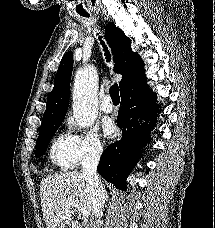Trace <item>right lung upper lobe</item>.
Instances as JSON below:
<instances>
[{
  "label": "right lung upper lobe",
  "instance_id": "cb5924a9",
  "mask_svg": "<svg viewBox=\"0 0 215 228\" xmlns=\"http://www.w3.org/2000/svg\"><path fill=\"white\" fill-rule=\"evenodd\" d=\"M105 36L113 53L114 71L122 75L119 83L120 91H122L130 79L145 75L144 62L138 53L132 51L131 40L113 22L107 24ZM72 69L73 53L69 51L60 62L54 80V88L47 99L41 126L62 122L65 118L69 104Z\"/></svg>",
  "mask_w": 215,
  "mask_h": 228
}]
</instances>
